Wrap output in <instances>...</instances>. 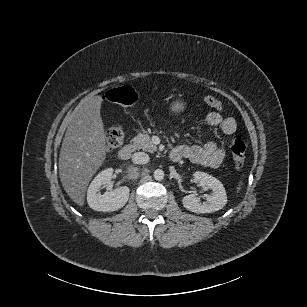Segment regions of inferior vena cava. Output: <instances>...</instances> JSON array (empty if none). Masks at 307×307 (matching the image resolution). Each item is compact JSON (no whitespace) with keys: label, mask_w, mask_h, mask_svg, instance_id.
<instances>
[{"label":"inferior vena cava","mask_w":307,"mask_h":307,"mask_svg":"<svg viewBox=\"0 0 307 307\" xmlns=\"http://www.w3.org/2000/svg\"><path fill=\"white\" fill-rule=\"evenodd\" d=\"M149 156L143 152H136L132 155V162L137 165L149 163Z\"/></svg>","instance_id":"1"}]
</instances>
